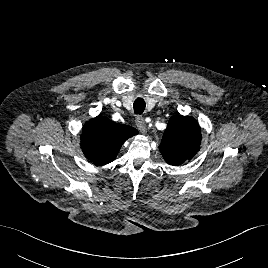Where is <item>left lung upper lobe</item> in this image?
I'll return each mask as SVG.
<instances>
[{"label": "left lung upper lobe", "instance_id": "5c2ea615", "mask_svg": "<svg viewBox=\"0 0 268 268\" xmlns=\"http://www.w3.org/2000/svg\"><path fill=\"white\" fill-rule=\"evenodd\" d=\"M201 129L196 119L178 115L169 120L159 150L170 165L190 160L200 148Z\"/></svg>", "mask_w": 268, "mask_h": 268}]
</instances>
